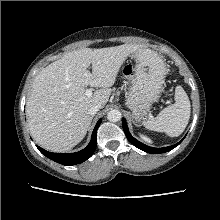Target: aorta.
<instances>
[{"label": "aorta", "mask_w": 220, "mask_h": 220, "mask_svg": "<svg viewBox=\"0 0 220 220\" xmlns=\"http://www.w3.org/2000/svg\"><path fill=\"white\" fill-rule=\"evenodd\" d=\"M122 114L119 110L113 109L108 112L107 119L111 122H118L121 120Z\"/></svg>", "instance_id": "762f6f07"}]
</instances>
